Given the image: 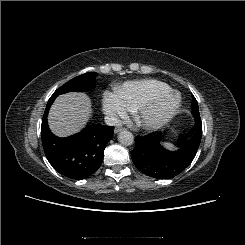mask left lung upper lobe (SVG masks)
Here are the masks:
<instances>
[{"instance_id": "1", "label": "left lung upper lobe", "mask_w": 245, "mask_h": 245, "mask_svg": "<svg viewBox=\"0 0 245 245\" xmlns=\"http://www.w3.org/2000/svg\"><path fill=\"white\" fill-rule=\"evenodd\" d=\"M192 114L195 118V127L196 128H201L202 129V124H201V118L199 114V108H198V103L197 100L195 99L194 96H192Z\"/></svg>"}]
</instances>
